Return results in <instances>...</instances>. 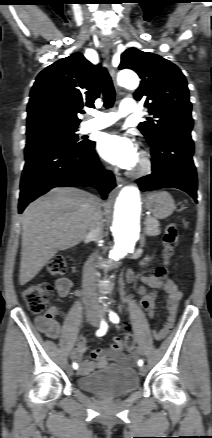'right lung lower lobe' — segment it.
I'll return each instance as SVG.
<instances>
[{
  "label": "right lung lower lobe",
  "mask_w": 212,
  "mask_h": 438,
  "mask_svg": "<svg viewBox=\"0 0 212 438\" xmlns=\"http://www.w3.org/2000/svg\"><path fill=\"white\" fill-rule=\"evenodd\" d=\"M95 143L67 144L56 139L27 141L20 184L19 213L37 197L59 186H95L103 199L116 186L100 164Z\"/></svg>",
  "instance_id": "98d812e1"
}]
</instances>
